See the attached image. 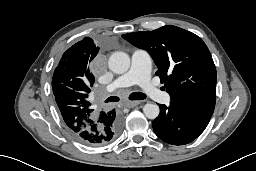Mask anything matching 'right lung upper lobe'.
I'll use <instances>...</instances> for the list:
<instances>
[{
	"label": "right lung upper lobe",
	"mask_w": 256,
	"mask_h": 171,
	"mask_svg": "<svg viewBox=\"0 0 256 171\" xmlns=\"http://www.w3.org/2000/svg\"><path fill=\"white\" fill-rule=\"evenodd\" d=\"M98 51L93 40L85 37L63 54L53 74L52 88L57 106L74 135L86 130L94 131L103 114V111L92 109L88 101L94 76L87 65ZM68 68L70 71L66 74Z\"/></svg>",
	"instance_id": "1"
}]
</instances>
